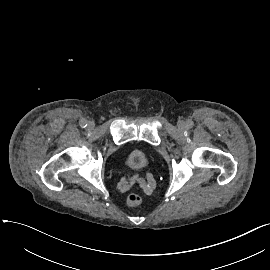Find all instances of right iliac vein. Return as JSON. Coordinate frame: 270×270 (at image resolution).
Wrapping results in <instances>:
<instances>
[{"label": "right iliac vein", "mask_w": 270, "mask_h": 270, "mask_svg": "<svg viewBox=\"0 0 270 270\" xmlns=\"http://www.w3.org/2000/svg\"><path fill=\"white\" fill-rule=\"evenodd\" d=\"M88 128L93 129L94 128V122H92V121L88 122Z\"/></svg>", "instance_id": "1"}]
</instances>
